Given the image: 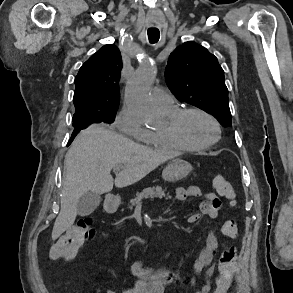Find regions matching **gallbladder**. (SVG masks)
Masks as SVG:
<instances>
[{
    "label": "gallbladder",
    "mask_w": 293,
    "mask_h": 293,
    "mask_svg": "<svg viewBox=\"0 0 293 293\" xmlns=\"http://www.w3.org/2000/svg\"><path fill=\"white\" fill-rule=\"evenodd\" d=\"M101 202L99 194L93 192H87L79 198L77 203V213L80 216L90 215Z\"/></svg>",
    "instance_id": "gallbladder-1"
}]
</instances>
